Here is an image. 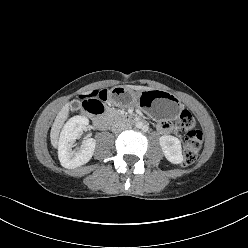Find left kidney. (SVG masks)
I'll use <instances>...</instances> for the list:
<instances>
[{"label":"left kidney","mask_w":248,"mask_h":248,"mask_svg":"<svg viewBox=\"0 0 248 248\" xmlns=\"http://www.w3.org/2000/svg\"><path fill=\"white\" fill-rule=\"evenodd\" d=\"M159 143L168 161L173 164L183 162L181 142L178 138L170 135H164L159 138Z\"/></svg>","instance_id":"obj_1"}]
</instances>
